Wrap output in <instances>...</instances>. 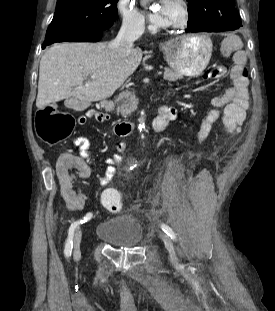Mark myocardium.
<instances>
[{"instance_id": "f54148a6", "label": "myocardium", "mask_w": 275, "mask_h": 311, "mask_svg": "<svg viewBox=\"0 0 275 311\" xmlns=\"http://www.w3.org/2000/svg\"><path fill=\"white\" fill-rule=\"evenodd\" d=\"M179 9V17L176 22L167 25V28L177 30L184 28L189 21L190 11L185 0H172Z\"/></svg>"}]
</instances>
